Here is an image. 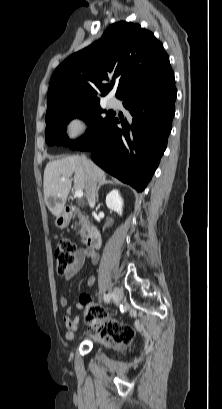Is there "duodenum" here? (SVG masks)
<instances>
[{"label":"duodenum","instance_id":"410a0bca","mask_svg":"<svg viewBox=\"0 0 222 409\" xmlns=\"http://www.w3.org/2000/svg\"><path fill=\"white\" fill-rule=\"evenodd\" d=\"M76 208L74 206H68L66 208L67 214H72ZM102 245V237L99 229L95 226H92L89 230V233L86 237V246L89 250H97Z\"/></svg>","mask_w":222,"mask_h":409}]
</instances>
